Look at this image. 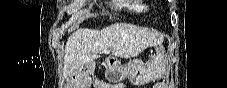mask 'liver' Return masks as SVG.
I'll return each instance as SVG.
<instances>
[{
  "instance_id": "liver-1",
  "label": "liver",
  "mask_w": 227,
  "mask_h": 88,
  "mask_svg": "<svg viewBox=\"0 0 227 88\" xmlns=\"http://www.w3.org/2000/svg\"><path fill=\"white\" fill-rule=\"evenodd\" d=\"M161 43L157 33L127 23H115L102 30L80 29L67 40L63 74L70 75L92 64L105 51L128 59Z\"/></svg>"
}]
</instances>
